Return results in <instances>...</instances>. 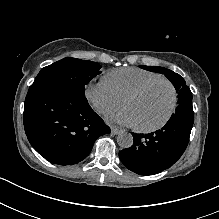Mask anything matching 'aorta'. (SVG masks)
Returning <instances> with one entry per match:
<instances>
[{"mask_svg":"<svg viewBox=\"0 0 219 219\" xmlns=\"http://www.w3.org/2000/svg\"><path fill=\"white\" fill-rule=\"evenodd\" d=\"M117 142L122 148H129L133 145V137L130 133H123L117 137Z\"/></svg>","mask_w":219,"mask_h":219,"instance_id":"aorta-1","label":"aorta"}]
</instances>
